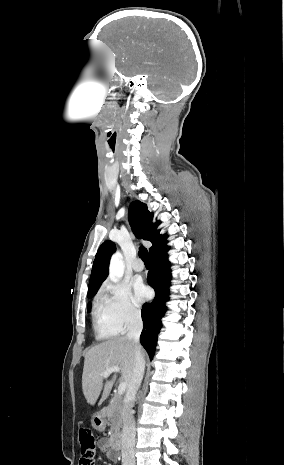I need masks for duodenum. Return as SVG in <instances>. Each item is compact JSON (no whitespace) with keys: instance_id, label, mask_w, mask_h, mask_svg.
<instances>
[{"instance_id":"1","label":"duodenum","mask_w":284,"mask_h":465,"mask_svg":"<svg viewBox=\"0 0 284 465\" xmlns=\"http://www.w3.org/2000/svg\"><path fill=\"white\" fill-rule=\"evenodd\" d=\"M98 415L99 416H102L103 415V411H99L98 412ZM112 442H113V446L114 448L118 451V449H121L122 448V444H123V437H122V434L119 433V432H115L114 436H113V439H112Z\"/></svg>"}]
</instances>
